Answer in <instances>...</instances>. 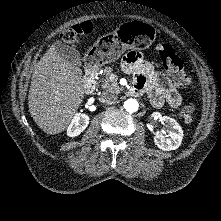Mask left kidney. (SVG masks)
<instances>
[{
	"mask_svg": "<svg viewBox=\"0 0 221 221\" xmlns=\"http://www.w3.org/2000/svg\"><path fill=\"white\" fill-rule=\"evenodd\" d=\"M161 121L170 128L167 137L159 134L154 136L155 145L164 151L176 150L181 145L183 130L176 120L168 116H163Z\"/></svg>",
	"mask_w": 221,
	"mask_h": 221,
	"instance_id": "obj_1",
	"label": "left kidney"
}]
</instances>
